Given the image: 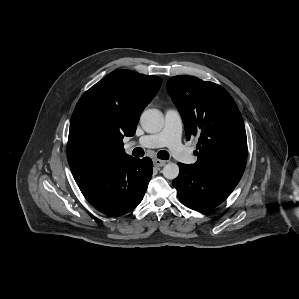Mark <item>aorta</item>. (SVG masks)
Wrapping results in <instances>:
<instances>
[{"label": "aorta", "instance_id": "1", "mask_svg": "<svg viewBox=\"0 0 299 299\" xmlns=\"http://www.w3.org/2000/svg\"><path fill=\"white\" fill-rule=\"evenodd\" d=\"M140 123L147 133H157L160 132L164 126V117L158 109H147L142 113ZM162 173L166 179L173 180L177 178L179 174V167L176 163H167Z\"/></svg>", "mask_w": 299, "mask_h": 299}]
</instances>
